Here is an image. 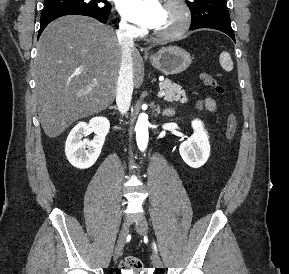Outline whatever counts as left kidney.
Wrapping results in <instances>:
<instances>
[{"label":"left kidney","mask_w":289,"mask_h":274,"mask_svg":"<svg viewBox=\"0 0 289 274\" xmlns=\"http://www.w3.org/2000/svg\"><path fill=\"white\" fill-rule=\"evenodd\" d=\"M191 125L194 133L180 145L179 152L186 164L192 168H199L207 162L210 156V143L200 120H193Z\"/></svg>","instance_id":"left-kidney-1"}]
</instances>
